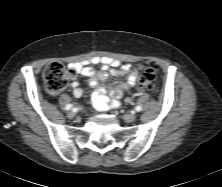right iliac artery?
<instances>
[{
	"label": "right iliac artery",
	"mask_w": 222,
	"mask_h": 187,
	"mask_svg": "<svg viewBox=\"0 0 222 187\" xmlns=\"http://www.w3.org/2000/svg\"><path fill=\"white\" fill-rule=\"evenodd\" d=\"M72 107H73L72 104H67L66 107H65V109H66V110H70V109H72Z\"/></svg>",
	"instance_id": "obj_1"
}]
</instances>
